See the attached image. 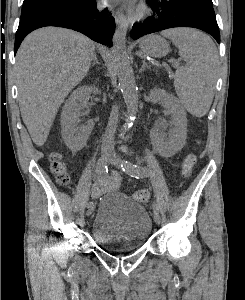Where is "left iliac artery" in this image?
<instances>
[{
    "label": "left iliac artery",
    "instance_id": "left-iliac-artery-1",
    "mask_svg": "<svg viewBox=\"0 0 245 300\" xmlns=\"http://www.w3.org/2000/svg\"><path fill=\"white\" fill-rule=\"evenodd\" d=\"M121 168L124 172L128 173L130 176L135 177L137 179L144 178L147 176L148 170L144 167L132 164L131 162L124 161L121 164ZM154 212L158 211V206L155 202L152 205Z\"/></svg>",
    "mask_w": 245,
    "mask_h": 300
}]
</instances>
